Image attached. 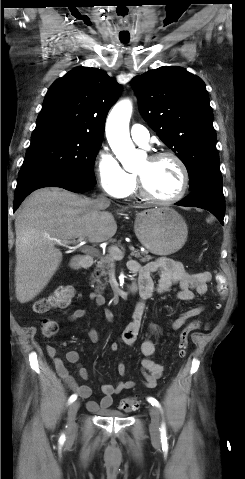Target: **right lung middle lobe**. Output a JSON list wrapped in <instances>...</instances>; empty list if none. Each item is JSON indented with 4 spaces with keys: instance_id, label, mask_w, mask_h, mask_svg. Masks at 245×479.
Returning a JSON list of instances; mask_svg holds the SVG:
<instances>
[{
    "instance_id": "obj_1",
    "label": "right lung middle lobe",
    "mask_w": 245,
    "mask_h": 479,
    "mask_svg": "<svg viewBox=\"0 0 245 479\" xmlns=\"http://www.w3.org/2000/svg\"><path fill=\"white\" fill-rule=\"evenodd\" d=\"M101 143L87 133L37 128L18 178L38 172H59L95 184L94 163Z\"/></svg>"
}]
</instances>
